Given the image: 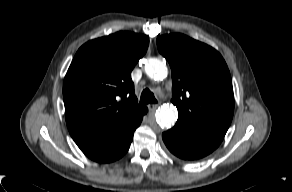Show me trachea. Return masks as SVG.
<instances>
[{"label": "trachea", "mask_w": 292, "mask_h": 192, "mask_svg": "<svg viewBox=\"0 0 292 192\" xmlns=\"http://www.w3.org/2000/svg\"><path fill=\"white\" fill-rule=\"evenodd\" d=\"M140 102L142 104H149V103L154 104V103H157V100L154 94L149 89H145L143 90L141 94Z\"/></svg>", "instance_id": "obj_1"}]
</instances>
